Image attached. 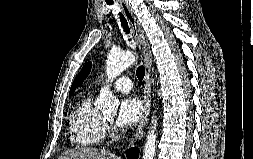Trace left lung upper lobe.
Listing matches in <instances>:
<instances>
[{
	"instance_id": "obj_1",
	"label": "left lung upper lobe",
	"mask_w": 253,
	"mask_h": 159,
	"mask_svg": "<svg viewBox=\"0 0 253 159\" xmlns=\"http://www.w3.org/2000/svg\"><path fill=\"white\" fill-rule=\"evenodd\" d=\"M91 70V62H88L80 71V73L77 75V77L74 79V82L71 85L70 88V93L69 95H71L75 89L80 86L82 84V82L84 81V79L88 76V74L90 73Z\"/></svg>"
}]
</instances>
